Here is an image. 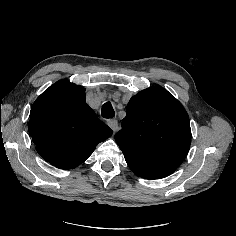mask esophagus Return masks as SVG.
<instances>
[{
    "label": "esophagus",
    "instance_id": "esophagus-1",
    "mask_svg": "<svg viewBox=\"0 0 236 236\" xmlns=\"http://www.w3.org/2000/svg\"><path fill=\"white\" fill-rule=\"evenodd\" d=\"M107 124L114 132L118 129V121L116 119L109 120Z\"/></svg>",
    "mask_w": 236,
    "mask_h": 236
}]
</instances>
